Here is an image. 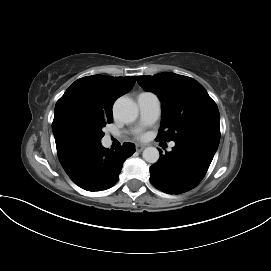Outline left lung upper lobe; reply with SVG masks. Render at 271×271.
<instances>
[{"label": "left lung upper lobe", "mask_w": 271, "mask_h": 271, "mask_svg": "<svg viewBox=\"0 0 271 271\" xmlns=\"http://www.w3.org/2000/svg\"><path fill=\"white\" fill-rule=\"evenodd\" d=\"M137 81L145 90L157 94L162 102L157 141L194 139L219 145V111L199 82L169 72L138 76Z\"/></svg>", "instance_id": "obj_1"}]
</instances>
